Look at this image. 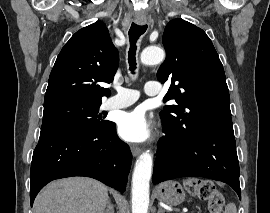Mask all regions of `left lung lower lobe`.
I'll list each match as a JSON object with an SVG mask.
<instances>
[{"mask_svg": "<svg viewBox=\"0 0 270 213\" xmlns=\"http://www.w3.org/2000/svg\"><path fill=\"white\" fill-rule=\"evenodd\" d=\"M154 165L153 183L197 176L230 185L241 199L239 163L231 128L193 127L179 135L167 127Z\"/></svg>", "mask_w": 270, "mask_h": 213, "instance_id": "0a47b994", "label": "left lung lower lobe"}]
</instances>
